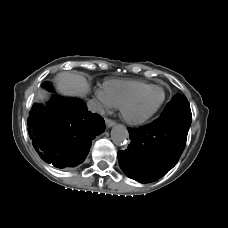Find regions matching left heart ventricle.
Listing matches in <instances>:
<instances>
[{
  "instance_id": "b2bd125f",
  "label": "left heart ventricle",
  "mask_w": 228,
  "mask_h": 228,
  "mask_svg": "<svg viewBox=\"0 0 228 228\" xmlns=\"http://www.w3.org/2000/svg\"><path fill=\"white\" fill-rule=\"evenodd\" d=\"M162 91L152 89L140 96L127 107V112L133 117H138L153 110L162 99Z\"/></svg>"
}]
</instances>
